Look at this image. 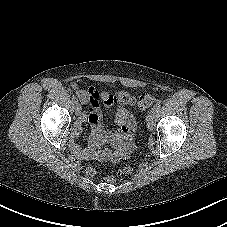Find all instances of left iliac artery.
<instances>
[{
    "label": "left iliac artery",
    "instance_id": "left-iliac-artery-1",
    "mask_svg": "<svg viewBox=\"0 0 227 227\" xmlns=\"http://www.w3.org/2000/svg\"><path fill=\"white\" fill-rule=\"evenodd\" d=\"M161 107V102H157V104L153 107V110L157 112Z\"/></svg>",
    "mask_w": 227,
    "mask_h": 227
}]
</instances>
